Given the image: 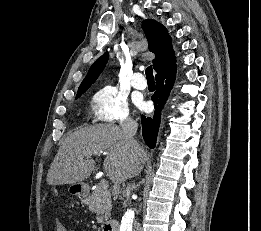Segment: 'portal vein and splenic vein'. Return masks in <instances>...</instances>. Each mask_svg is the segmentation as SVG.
Listing matches in <instances>:
<instances>
[{
  "label": "portal vein and splenic vein",
  "instance_id": "portal-vein-and-splenic-vein-1",
  "mask_svg": "<svg viewBox=\"0 0 261 231\" xmlns=\"http://www.w3.org/2000/svg\"><path fill=\"white\" fill-rule=\"evenodd\" d=\"M103 153V151H96L94 154H101ZM88 155H92L91 153H88ZM99 186L102 188V189H105L107 190L108 189V181L106 179H101L100 183H99Z\"/></svg>",
  "mask_w": 261,
  "mask_h": 231
}]
</instances>
